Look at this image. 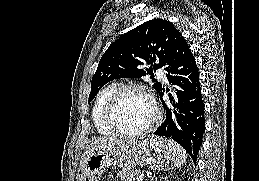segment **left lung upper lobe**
I'll list each match as a JSON object with an SVG mask.
<instances>
[{"instance_id": "left-lung-upper-lobe-1", "label": "left lung upper lobe", "mask_w": 259, "mask_h": 181, "mask_svg": "<svg viewBox=\"0 0 259 181\" xmlns=\"http://www.w3.org/2000/svg\"><path fill=\"white\" fill-rule=\"evenodd\" d=\"M182 36L175 26L165 19L149 20L130 30L104 53L92 77L88 103L107 82L118 78H140L152 68L144 69L146 63L154 65V70L166 67L173 43ZM153 88L157 93L162 85L156 82Z\"/></svg>"}]
</instances>
